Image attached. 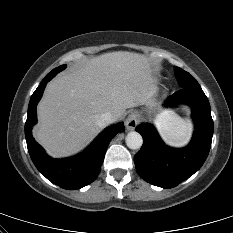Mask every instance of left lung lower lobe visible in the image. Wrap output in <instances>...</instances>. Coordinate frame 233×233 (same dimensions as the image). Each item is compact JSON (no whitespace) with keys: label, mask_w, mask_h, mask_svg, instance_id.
Wrapping results in <instances>:
<instances>
[{"label":"left lung lower lobe","mask_w":233,"mask_h":233,"mask_svg":"<svg viewBox=\"0 0 233 233\" xmlns=\"http://www.w3.org/2000/svg\"><path fill=\"white\" fill-rule=\"evenodd\" d=\"M178 104L192 107L196 123L193 139L187 147L174 149L166 146L152 125L136 127L144 140L134 157L137 173L146 182L162 188H173L197 172L205 162L212 142L213 120L203 90L182 88L165 102L166 106Z\"/></svg>","instance_id":"0a47b994"}]
</instances>
